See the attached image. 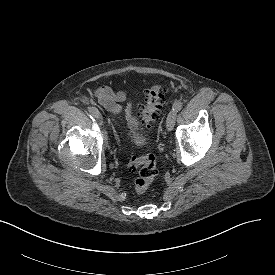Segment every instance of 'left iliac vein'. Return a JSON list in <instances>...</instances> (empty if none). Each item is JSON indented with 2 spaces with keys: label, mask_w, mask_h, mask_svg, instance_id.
I'll list each match as a JSON object with an SVG mask.
<instances>
[{
  "label": "left iliac vein",
  "mask_w": 275,
  "mask_h": 275,
  "mask_svg": "<svg viewBox=\"0 0 275 275\" xmlns=\"http://www.w3.org/2000/svg\"><path fill=\"white\" fill-rule=\"evenodd\" d=\"M177 113L176 111L172 110L167 116L166 126L169 131L174 128L175 121H176Z\"/></svg>",
  "instance_id": "1"
}]
</instances>
